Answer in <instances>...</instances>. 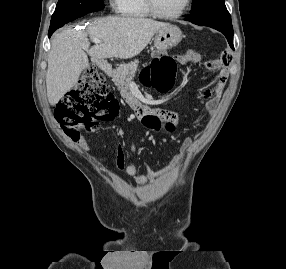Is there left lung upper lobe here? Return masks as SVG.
Segmentation results:
<instances>
[{"mask_svg": "<svg viewBox=\"0 0 286 269\" xmlns=\"http://www.w3.org/2000/svg\"><path fill=\"white\" fill-rule=\"evenodd\" d=\"M191 16L185 20L196 25L216 26L233 30L231 16L224 0H192Z\"/></svg>", "mask_w": 286, "mask_h": 269, "instance_id": "left-lung-upper-lobe-1", "label": "left lung upper lobe"}]
</instances>
